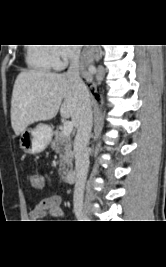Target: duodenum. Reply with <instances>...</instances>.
Masks as SVG:
<instances>
[{
    "label": "duodenum",
    "mask_w": 166,
    "mask_h": 267,
    "mask_svg": "<svg viewBox=\"0 0 166 267\" xmlns=\"http://www.w3.org/2000/svg\"><path fill=\"white\" fill-rule=\"evenodd\" d=\"M64 176H65V180L68 183H72L76 179V171L74 169H70V170L65 172Z\"/></svg>",
    "instance_id": "obj_1"
}]
</instances>
